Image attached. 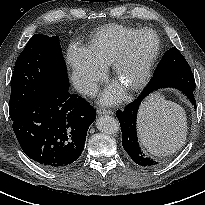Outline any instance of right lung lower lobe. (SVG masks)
Listing matches in <instances>:
<instances>
[{
    "mask_svg": "<svg viewBox=\"0 0 205 205\" xmlns=\"http://www.w3.org/2000/svg\"><path fill=\"white\" fill-rule=\"evenodd\" d=\"M68 89L41 93L16 119L13 130L24 153L43 168L58 171L80 157L95 110Z\"/></svg>",
    "mask_w": 205,
    "mask_h": 205,
    "instance_id": "obj_1",
    "label": "right lung lower lobe"
}]
</instances>
